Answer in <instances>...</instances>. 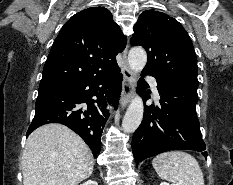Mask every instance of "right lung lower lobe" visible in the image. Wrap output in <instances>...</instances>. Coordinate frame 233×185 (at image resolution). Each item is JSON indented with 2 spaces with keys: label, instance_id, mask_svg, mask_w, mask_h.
Instances as JSON below:
<instances>
[{
  "label": "right lung lower lobe",
  "instance_id": "obj_1",
  "mask_svg": "<svg viewBox=\"0 0 233 185\" xmlns=\"http://www.w3.org/2000/svg\"><path fill=\"white\" fill-rule=\"evenodd\" d=\"M122 79L119 67H115L93 77L40 86L27 136L43 124L61 123L80 135L97 157L109 116L105 107L107 104L117 107Z\"/></svg>",
  "mask_w": 233,
  "mask_h": 185
}]
</instances>
